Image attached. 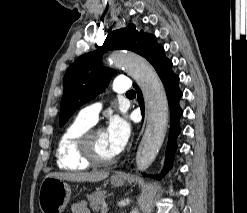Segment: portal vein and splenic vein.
<instances>
[{
  "mask_svg": "<svg viewBox=\"0 0 247 213\" xmlns=\"http://www.w3.org/2000/svg\"><path fill=\"white\" fill-rule=\"evenodd\" d=\"M108 211L107 205H104L102 208V213H106Z\"/></svg>",
  "mask_w": 247,
  "mask_h": 213,
  "instance_id": "18ae733b",
  "label": "portal vein and splenic vein"
}]
</instances>
